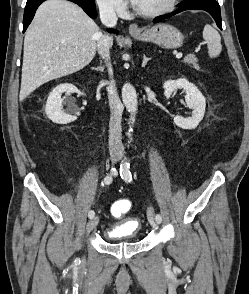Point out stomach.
I'll return each mask as SVG.
<instances>
[{
    "mask_svg": "<svg viewBox=\"0 0 249 294\" xmlns=\"http://www.w3.org/2000/svg\"><path fill=\"white\" fill-rule=\"evenodd\" d=\"M137 40L151 41L164 48H177L182 46L184 36L174 26L170 24H157L145 29L142 32L131 33Z\"/></svg>",
    "mask_w": 249,
    "mask_h": 294,
    "instance_id": "obj_1",
    "label": "stomach"
}]
</instances>
